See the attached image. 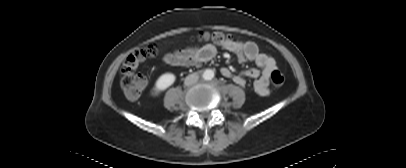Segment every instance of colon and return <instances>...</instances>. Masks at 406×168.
<instances>
[{"label":"colon","instance_id":"5ec220e1","mask_svg":"<svg viewBox=\"0 0 406 168\" xmlns=\"http://www.w3.org/2000/svg\"><path fill=\"white\" fill-rule=\"evenodd\" d=\"M197 39L221 47L234 41L230 35L220 31L201 32L198 34ZM156 53V46L149 44L132 53L123 63L121 68V87L129 99L135 100L139 98L146 87V77L137 70L147 57L154 56ZM270 79L272 84L276 87H280L284 83V76L279 70H273Z\"/></svg>","mask_w":406,"mask_h":168}]
</instances>
